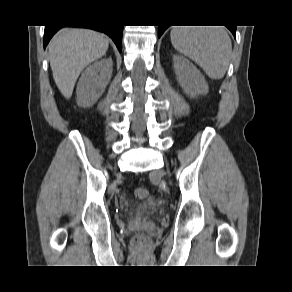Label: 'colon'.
<instances>
[{
	"label": "colon",
	"instance_id": "1",
	"mask_svg": "<svg viewBox=\"0 0 292 292\" xmlns=\"http://www.w3.org/2000/svg\"><path fill=\"white\" fill-rule=\"evenodd\" d=\"M134 194L138 199H145L149 195V190L146 187H138L135 189ZM136 241L140 242L141 239L137 238Z\"/></svg>",
	"mask_w": 292,
	"mask_h": 292
}]
</instances>
